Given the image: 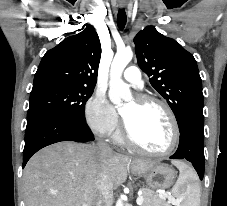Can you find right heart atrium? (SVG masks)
<instances>
[{
  "label": "right heart atrium",
  "mask_w": 227,
  "mask_h": 206,
  "mask_svg": "<svg viewBox=\"0 0 227 206\" xmlns=\"http://www.w3.org/2000/svg\"><path fill=\"white\" fill-rule=\"evenodd\" d=\"M85 118L89 128L98 136L112 135L119 127V115L102 93H94L89 98Z\"/></svg>",
  "instance_id": "right-heart-atrium-1"
}]
</instances>
